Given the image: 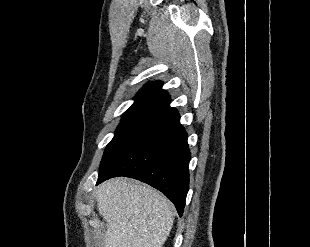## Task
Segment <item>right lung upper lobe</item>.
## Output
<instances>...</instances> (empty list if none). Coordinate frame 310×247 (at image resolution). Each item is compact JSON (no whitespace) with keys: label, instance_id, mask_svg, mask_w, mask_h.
<instances>
[{"label":"right lung upper lobe","instance_id":"right-lung-upper-lobe-1","mask_svg":"<svg viewBox=\"0 0 310 247\" xmlns=\"http://www.w3.org/2000/svg\"><path fill=\"white\" fill-rule=\"evenodd\" d=\"M169 103L170 97L162 89V82H150L137 93L135 102L129 109L152 110L159 114L170 108Z\"/></svg>","mask_w":310,"mask_h":247}]
</instances>
